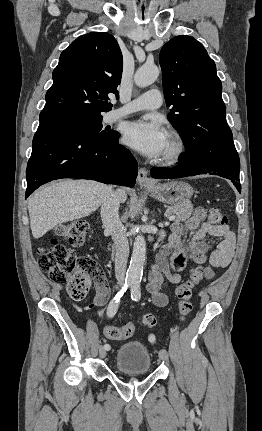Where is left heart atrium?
I'll return each instance as SVG.
<instances>
[{
	"label": "left heart atrium",
	"instance_id": "obj_1",
	"mask_svg": "<svg viewBox=\"0 0 262 431\" xmlns=\"http://www.w3.org/2000/svg\"><path fill=\"white\" fill-rule=\"evenodd\" d=\"M124 142L143 155L156 158L163 154L168 142V134L158 120L146 118L127 125Z\"/></svg>",
	"mask_w": 262,
	"mask_h": 431
}]
</instances>
